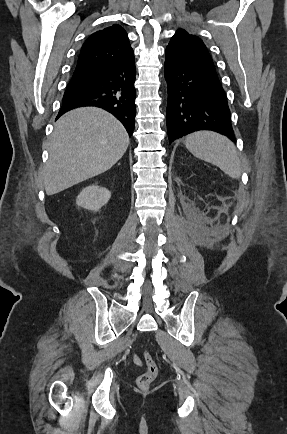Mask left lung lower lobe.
<instances>
[{"instance_id": "obj_1", "label": "left lung lower lobe", "mask_w": 287, "mask_h": 434, "mask_svg": "<svg viewBox=\"0 0 287 434\" xmlns=\"http://www.w3.org/2000/svg\"><path fill=\"white\" fill-rule=\"evenodd\" d=\"M167 132L170 143L198 130L236 141L226 94L215 68L166 55Z\"/></svg>"}]
</instances>
